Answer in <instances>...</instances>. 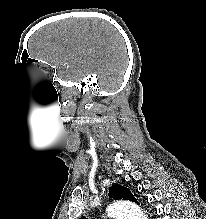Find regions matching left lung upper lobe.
<instances>
[{
	"instance_id": "obj_1",
	"label": "left lung upper lobe",
	"mask_w": 206,
	"mask_h": 219,
	"mask_svg": "<svg viewBox=\"0 0 206 219\" xmlns=\"http://www.w3.org/2000/svg\"><path fill=\"white\" fill-rule=\"evenodd\" d=\"M109 197L113 198L114 200H119V199L130 200L139 204L129 189L118 184L112 185L109 188ZM80 219H87V218L83 216Z\"/></svg>"
}]
</instances>
